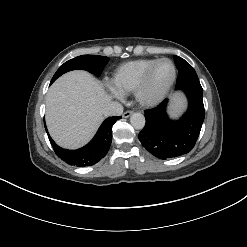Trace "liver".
<instances>
[{"label": "liver", "instance_id": "1", "mask_svg": "<svg viewBox=\"0 0 247 247\" xmlns=\"http://www.w3.org/2000/svg\"><path fill=\"white\" fill-rule=\"evenodd\" d=\"M110 97L103 86L85 71H71L58 78L46 98V124L54 141L75 149L90 141L103 121V109ZM174 114L184 107L173 98Z\"/></svg>", "mask_w": 247, "mask_h": 247}]
</instances>
